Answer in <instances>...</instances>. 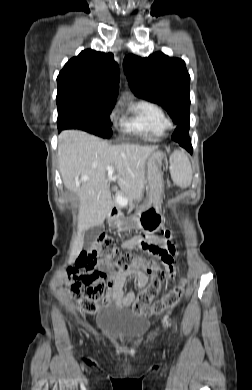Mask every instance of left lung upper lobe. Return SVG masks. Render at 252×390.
Returning <instances> with one entry per match:
<instances>
[{"label":"left lung upper lobe","mask_w":252,"mask_h":390,"mask_svg":"<svg viewBox=\"0 0 252 390\" xmlns=\"http://www.w3.org/2000/svg\"><path fill=\"white\" fill-rule=\"evenodd\" d=\"M123 69L135 96L161 105L180 128L189 129L190 75L182 59L162 52L141 58L130 54Z\"/></svg>","instance_id":"obj_1"}]
</instances>
